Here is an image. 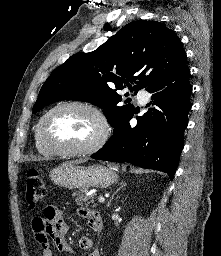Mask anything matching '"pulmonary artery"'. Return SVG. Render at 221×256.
<instances>
[{"label":"pulmonary artery","mask_w":221,"mask_h":256,"mask_svg":"<svg viewBox=\"0 0 221 256\" xmlns=\"http://www.w3.org/2000/svg\"><path fill=\"white\" fill-rule=\"evenodd\" d=\"M149 98V94L145 91V90H140L137 93V99L141 102V103H145L148 101Z\"/></svg>","instance_id":"obj_1"}]
</instances>
